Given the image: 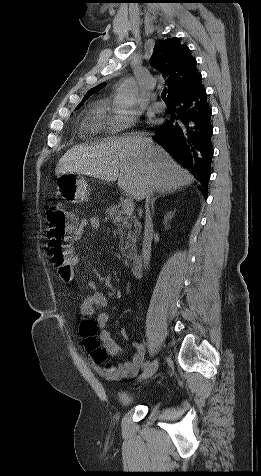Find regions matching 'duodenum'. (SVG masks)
Here are the masks:
<instances>
[{"label":"duodenum","instance_id":"obj_1","mask_svg":"<svg viewBox=\"0 0 261 476\" xmlns=\"http://www.w3.org/2000/svg\"><path fill=\"white\" fill-rule=\"evenodd\" d=\"M129 262H130L132 274L135 277H140L143 271V259L141 254L135 253L131 255Z\"/></svg>","mask_w":261,"mask_h":476}]
</instances>
